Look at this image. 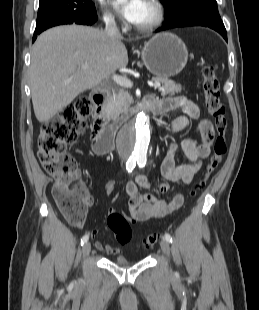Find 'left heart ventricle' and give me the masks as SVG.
Here are the masks:
<instances>
[{
	"instance_id": "b2bd125f",
	"label": "left heart ventricle",
	"mask_w": 259,
	"mask_h": 310,
	"mask_svg": "<svg viewBox=\"0 0 259 310\" xmlns=\"http://www.w3.org/2000/svg\"><path fill=\"white\" fill-rule=\"evenodd\" d=\"M155 18V9L153 6L147 2L146 0H143L140 9L138 11L137 17L134 25H146L153 21Z\"/></svg>"
}]
</instances>
